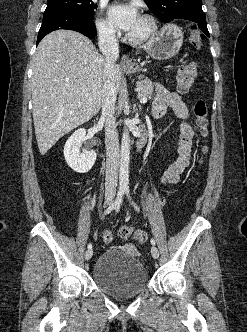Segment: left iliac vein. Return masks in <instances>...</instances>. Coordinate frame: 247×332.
Segmentation results:
<instances>
[{
	"label": "left iliac vein",
	"mask_w": 247,
	"mask_h": 332,
	"mask_svg": "<svg viewBox=\"0 0 247 332\" xmlns=\"http://www.w3.org/2000/svg\"><path fill=\"white\" fill-rule=\"evenodd\" d=\"M151 254L153 256V258L157 259L159 257V251L157 249V247L152 246L151 247Z\"/></svg>",
	"instance_id": "left-iliac-vein-1"
}]
</instances>
